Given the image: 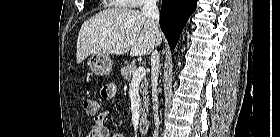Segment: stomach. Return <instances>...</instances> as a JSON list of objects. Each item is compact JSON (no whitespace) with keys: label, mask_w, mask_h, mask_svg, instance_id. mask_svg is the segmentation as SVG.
I'll use <instances>...</instances> for the list:
<instances>
[{"label":"stomach","mask_w":280,"mask_h":137,"mask_svg":"<svg viewBox=\"0 0 280 137\" xmlns=\"http://www.w3.org/2000/svg\"><path fill=\"white\" fill-rule=\"evenodd\" d=\"M89 69L98 76H106L112 71L113 63L109 56L93 54L88 60Z\"/></svg>","instance_id":"0dacf381"}]
</instances>
